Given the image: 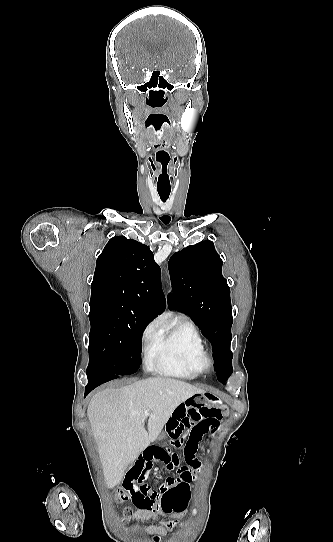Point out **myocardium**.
<instances>
[{"label": "myocardium", "mask_w": 333, "mask_h": 542, "mask_svg": "<svg viewBox=\"0 0 333 542\" xmlns=\"http://www.w3.org/2000/svg\"><path fill=\"white\" fill-rule=\"evenodd\" d=\"M213 359L205 354L201 360V369L202 371H211L213 369Z\"/></svg>", "instance_id": "1"}]
</instances>
